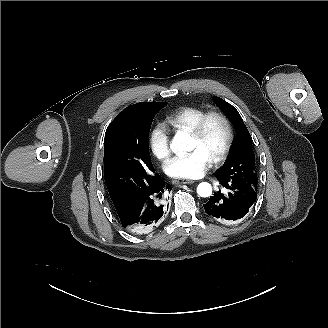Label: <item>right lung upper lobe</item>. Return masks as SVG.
<instances>
[{
	"instance_id": "right-lung-upper-lobe-1",
	"label": "right lung upper lobe",
	"mask_w": 328,
	"mask_h": 328,
	"mask_svg": "<svg viewBox=\"0 0 328 328\" xmlns=\"http://www.w3.org/2000/svg\"><path fill=\"white\" fill-rule=\"evenodd\" d=\"M116 210H117V213L121 214V213H123L124 206H120V207L116 208Z\"/></svg>"
}]
</instances>
